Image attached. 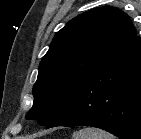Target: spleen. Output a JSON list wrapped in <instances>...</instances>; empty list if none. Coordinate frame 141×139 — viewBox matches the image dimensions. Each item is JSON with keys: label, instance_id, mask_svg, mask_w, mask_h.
<instances>
[{"label": "spleen", "instance_id": "spleen-1", "mask_svg": "<svg viewBox=\"0 0 141 139\" xmlns=\"http://www.w3.org/2000/svg\"><path fill=\"white\" fill-rule=\"evenodd\" d=\"M72 139H116L112 134L97 128H83L72 134Z\"/></svg>", "mask_w": 141, "mask_h": 139}]
</instances>
